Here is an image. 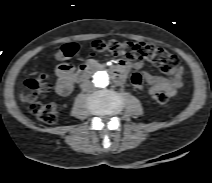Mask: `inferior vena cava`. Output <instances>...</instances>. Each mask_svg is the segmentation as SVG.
<instances>
[{"mask_svg":"<svg viewBox=\"0 0 212 183\" xmlns=\"http://www.w3.org/2000/svg\"><path fill=\"white\" fill-rule=\"evenodd\" d=\"M82 87L84 92H92L95 89L91 82L84 83Z\"/></svg>","mask_w":212,"mask_h":183,"instance_id":"1","label":"inferior vena cava"}]
</instances>
